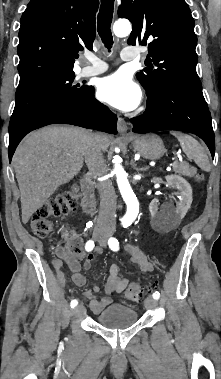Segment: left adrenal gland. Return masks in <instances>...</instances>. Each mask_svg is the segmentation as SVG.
<instances>
[{"label":"left adrenal gland","instance_id":"obj_1","mask_svg":"<svg viewBox=\"0 0 221 379\" xmlns=\"http://www.w3.org/2000/svg\"><path fill=\"white\" fill-rule=\"evenodd\" d=\"M131 165L137 171H145L146 170V168H138V167H136V163L133 160L131 162Z\"/></svg>","mask_w":221,"mask_h":379}]
</instances>
